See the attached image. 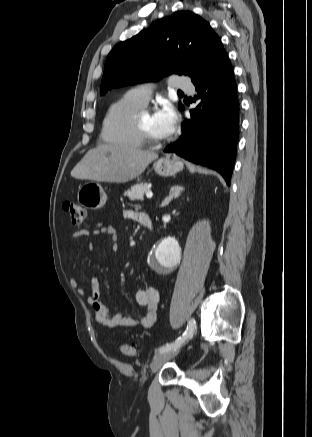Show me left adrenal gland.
<instances>
[{
	"label": "left adrenal gland",
	"mask_w": 312,
	"mask_h": 437,
	"mask_svg": "<svg viewBox=\"0 0 312 437\" xmlns=\"http://www.w3.org/2000/svg\"><path fill=\"white\" fill-rule=\"evenodd\" d=\"M182 191H184V188L182 186L179 185L172 186L169 195L162 202L161 207L167 206L173 199L179 197Z\"/></svg>",
	"instance_id": "a2214340"
}]
</instances>
